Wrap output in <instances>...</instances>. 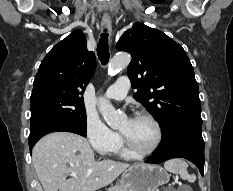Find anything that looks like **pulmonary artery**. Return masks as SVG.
<instances>
[{
  "label": "pulmonary artery",
  "instance_id": "pulmonary-artery-1",
  "mask_svg": "<svg viewBox=\"0 0 233 191\" xmlns=\"http://www.w3.org/2000/svg\"><path fill=\"white\" fill-rule=\"evenodd\" d=\"M129 88V78L127 76H122L107 89L104 96L108 100L121 101L126 97Z\"/></svg>",
  "mask_w": 233,
  "mask_h": 191
}]
</instances>
